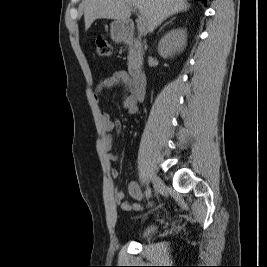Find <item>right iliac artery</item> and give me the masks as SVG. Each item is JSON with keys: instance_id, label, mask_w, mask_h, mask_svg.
Returning a JSON list of instances; mask_svg holds the SVG:
<instances>
[{"instance_id": "obj_1", "label": "right iliac artery", "mask_w": 267, "mask_h": 267, "mask_svg": "<svg viewBox=\"0 0 267 267\" xmlns=\"http://www.w3.org/2000/svg\"><path fill=\"white\" fill-rule=\"evenodd\" d=\"M145 195H146L147 199H149L151 196V188L149 186H147V188H146Z\"/></svg>"}]
</instances>
